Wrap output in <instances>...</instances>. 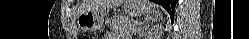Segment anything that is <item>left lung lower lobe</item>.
Returning a JSON list of instances; mask_svg holds the SVG:
<instances>
[{
	"instance_id": "left-lung-lower-lobe-1",
	"label": "left lung lower lobe",
	"mask_w": 249,
	"mask_h": 39,
	"mask_svg": "<svg viewBox=\"0 0 249 39\" xmlns=\"http://www.w3.org/2000/svg\"><path fill=\"white\" fill-rule=\"evenodd\" d=\"M156 3L161 4L170 14L171 19L174 16L175 5L178 0H153Z\"/></svg>"
}]
</instances>
